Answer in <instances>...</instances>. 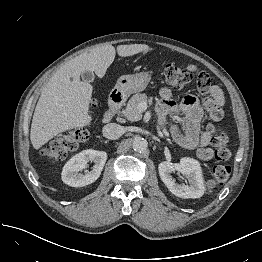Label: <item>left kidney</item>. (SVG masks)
<instances>
[{"label": "left kidney", "instance_id": "obj_1", "mask_svg": "<svg viewBox=\"0 0 262 262\" xmlns=\"http://www.w3.org/2000/svg\"><path fill=\"white\" fill-rule=\"evenodd\" d=\"M159 175L168 190L180 198H200L205 191L202 170L197 160L182 158L180 163L161 162L158 166ZM173 171H179L184 175L189 185L178 184L170 175Z\"/></svg>", "mask_w": 262, "mask_h": 262}]
</instances>
